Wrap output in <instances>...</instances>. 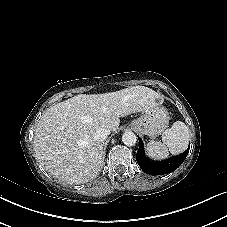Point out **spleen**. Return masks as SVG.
Wrapping results in <instances>:
<instances>
[{"label": "spleen", "mask_w": 227, "mask_h": 227, "mask_svg": "<svg viewBox=\"0 0 227 227\" xmlns=\"http://www.w3.org/2000/svg\"><path fill=\"white\" fill-rule=\"evenodd\" d=\"M189 143V128L185 123L176 121L172 127L162 134V142L150 141L146 152L153 159H165L171 154H178L186 150Z\"/></svg>", "instance_id": "1"}]
</instances>
